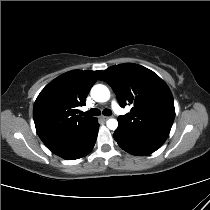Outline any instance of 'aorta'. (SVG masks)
Instances as JSON below:
<instances>
[{"instance_id": "aorta-1", "label": "aorta", "mask_w": 210, "mask_h": 210, "mask_svg": "<svg viewBox=\"0 0 210 210\" xmlns=\"http://www.w3.org/2000/svg\"><path fill=\"white\" fill-rule=\"evenodd\" d=\"M91 97L96 102H106L110 98V91L109 89L102 84L94 85L91 89ZM107 127L110 130H116L118 127V121L116 119H109L107 121Z\"/></svg>"}]
</instances>
